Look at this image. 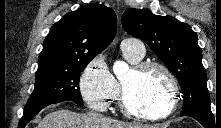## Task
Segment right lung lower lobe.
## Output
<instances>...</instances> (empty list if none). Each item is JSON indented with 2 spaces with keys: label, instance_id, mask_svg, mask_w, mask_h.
<instances>
[{
  "label": "right lung lower lobe",
  "instance_id": "obj_1",
  "mask_svg": "<svg viewBox=\"0 0 221 128\" xmlns=\"http://www.w3.org/2000/svg\"><path fill=\"white\" fill-rule=\"evenodd\" d=\"M61 101H55V102H48V103H44V104H40L37 105L35 107L29 108L27 110H24L23 113V117L21 118L20 122H19V128H24L25 125L44 107L50 105V104H54V103H58Z\"/></svg>",
  "mask_w": 221,
  "mask_h": 128
}]
</instances>
